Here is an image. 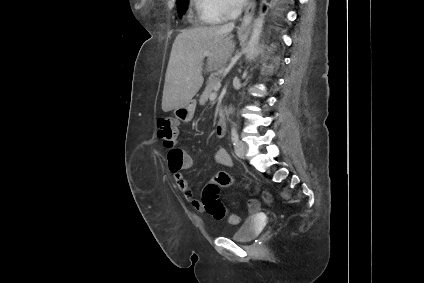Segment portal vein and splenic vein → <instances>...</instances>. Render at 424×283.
Here are the masks:
<instances>
[{
  "label": "portal vein and splenic vein",
  "mask_w": 424,
  "mask_h": 283,
  "mask_svg": "<svg viewBox=\"0 0 424 283\" xmlns=\"http://www.w3.org/2000/svg\"><path fill=\"white\" fill-rule=\"evenodd\" d=\"M208 55H209V52L208 51H205L204 52V56H208ZM220 87H221V83L220 82L216 83L214 85V87H213V93L211 95L212 96L213 95H217V92L219 91Z\"/></svg>",
  "instance_id": "1"
}]
</instances>
